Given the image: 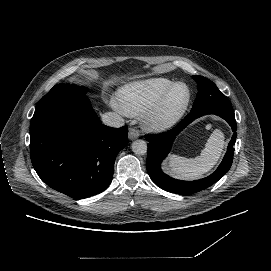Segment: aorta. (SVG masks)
I'll return each mask as SVG.
<instances>
[{"instance_id":"obj_1","label":"aorta","mask_w":271,"mask_h":271,"mask_svg":"<svg viewBox=\"0 0 271 271\" xmlns=\"http://www.w3.org/2000/svg\"><path fill=\"white\" fill-rule=\"evenodd\" d=\"M147 150V144L143 140H136L132 143V151L136 155H144L147 153Z\"/></svg>"}]
</instances>
